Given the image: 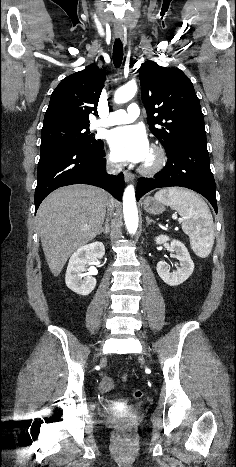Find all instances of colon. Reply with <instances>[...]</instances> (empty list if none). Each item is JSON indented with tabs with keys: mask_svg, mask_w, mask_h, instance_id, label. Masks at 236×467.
<instances>
[{
	"mask_svg": "<svg viewBox=\"0 0 236 467\" xmlns=\"http://www.w3.org/2000/svg\"><path fill=\"white\" fill-rule=\"evenodd\" d=\"M133 396H134V398H136V399H140V398L143 396L142 390H140V389H135V390L133 391Z\"/></svg>",
	"mask_w": 236,
	"mask_h": 467,
	"instance_id": "colon-1",
	"label": "colon"
}]
</instances>
